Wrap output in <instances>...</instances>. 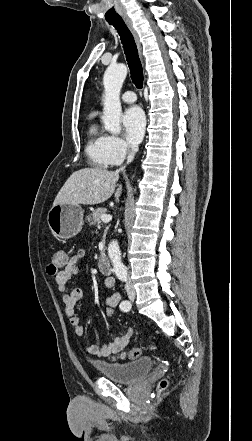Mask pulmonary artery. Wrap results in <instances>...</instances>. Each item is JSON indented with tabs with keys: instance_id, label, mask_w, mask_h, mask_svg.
<instances>
[{
	"instance_id": "pulmonary-artery-1",
	"label": "pulmonary artery",
	"mask_w": 252,
	"mask_h": 441,
	"mask_svg": "<svg viewBox=\"0 0 252 441\" xmlns=\"http://www.w3.org/2000/svg\"><path fill=\"white\" fill-rule=\"evenodd\" d=\"M121 100L125 103H134L137 100V97L133 91H126L122 94Z\"/></svg>"
}]
</instances>
